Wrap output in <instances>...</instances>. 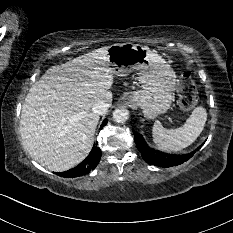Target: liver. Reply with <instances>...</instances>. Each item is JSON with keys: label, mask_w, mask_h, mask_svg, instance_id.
Returning a JSON list of instances; mask_svg holds the SVG:
<instances>
[{"label": "liver", "mask_w": 233, "mask_h": 233, "mask_svg": "<svg viewBox=\"0 0 233 233\" xmlns=\"http://www.w3.org/2000/svg\"><path fill=\"white\" fill-rule=\"evenodd\" d=\"M105 46L52 66L30 88L21 111L24 149L43 167L69 170L89 154L99 115L92 107L112 103L114 72Z\"/></svg>", "instance_id": "6515ba94"}]
</instances>
